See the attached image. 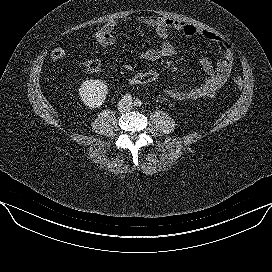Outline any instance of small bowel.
Wrapping results in <instances>:
<instances>
[{
    "mask_svg": "<svg viewBox=\"0 0 272 272\" xmlns=\"http://www.w3.org/2000/svg\"><path fill=\"white\" fill-rule=\"evenodd\" d=\"M128 21L129 19H123L121 22L125 23ZM136 21L154 28L159 38V43L155 48L142 50L137 53L138 58L141 60L153 62L177 54L174 45L168 39V32L171 29L180 32L186 37L199 36L215 45L219 50L220 58L215 71H213L208 59H199V64L207 74V78L201 84L180 90L167 88L164 90L167 95L178 100H197L212 97L228 80L234 61L233 51L230 44L219 35L172 18L145 16L137 18ZM117 25V21H108L102 29L114 34Z\"/></svg>",
    "mask_w": 272,
    "mask_h": 272,
    "instance_id": "1",
    "label": "small bowel"
}]
</instances>
